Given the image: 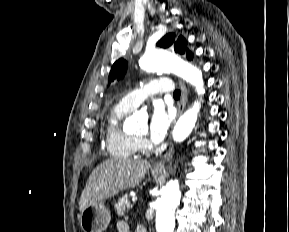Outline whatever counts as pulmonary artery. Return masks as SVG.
Returning <instances> with one entry per match:
<instances>
[{
    "instance_id": "1",
    "label": "pulmonary artery",
    "mask_w": 289,
    "mask_h": 232,
    "mask_svg": "<svg viewBox=\"0 0 289 232\" xmlns=\"http://www.w3.org/2000/svg\"><path fill=\"white\" fill-rule=\"evenodd\" d=\"M173 91V83L168 78L154 79L145 84L143 87L136 89L120 100V103L133 110L140 105L148 96L159 94V93H170Z\"/></svg>"
}]
</instances>
